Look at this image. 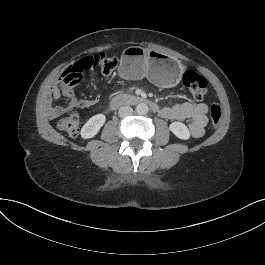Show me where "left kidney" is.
I'll return each mask as SVG.
<instances>
[{"label": "left kidney", "instance_id": "obj_1", "mask_svg": "<svg viewBox=\"0 0 265 265\" xmlns=\"http://www.w3.org/2000/svg\"><path fill=\"white\" fill-rule=\"evenodd\" d=\"M169 129L180 139L187 140L190 138V132L187 126L181 122L171 123Z\"/></svg>", "mask_w": 265, "mask_h": 265}]
</instances>
